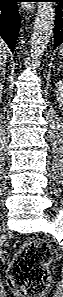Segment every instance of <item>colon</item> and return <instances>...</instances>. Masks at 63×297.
<instances>
[{
  "label": "colon",
  "instance_id": "1",
  "mask_svg": "<svg viewBox=\"0 0 63 297\" xmlns=\"http://www.w3.org/2000/svg\"><path fill=\"white\" fill-rule=\"evenodd\" d=\"M49 246L43 240L30 238L17 251L10 267L9 285L22 297H42L50 283Z\"/></svg>",
  "mask_w": 63,
  "mask_h": 297
}]
</instances>
